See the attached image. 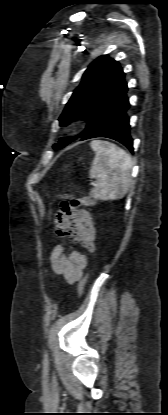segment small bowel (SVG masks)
I'll use <instances>...</instances> for the list:
<instances>
[{
    "instance_id": "obj_1",
    "label": "small bowel",
    "mask_w": 168,
    "mask_h": 415,
    "mask_svg": "<svg viewBox=\"0 0 168 415\" xmlns=\"http://www.w3.org/2000/svg\"><path fill=\"white\" fill-rule=\"evenodd\" d=\"M56 231L59 235L73 237L87 252L95 251V227L92 217L88 211L75 207L74 201L62 202L61 210L57 211ZM50 262L53 271L72 284L82 278L88 258L78 250L66 253L64 246L57 244L51 251Z\"/></svg>"
}]
</instances>
